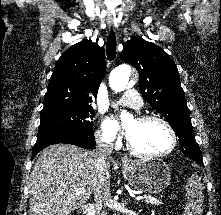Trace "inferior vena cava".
Returning <instances> with one entry per match:
<instances>
[{
	"label": "inferior vena cava",
	"instance_id": "1",
	"mask_svg": "<svg viewBox=\"0 0 221 215\" xmlns=\"http://www.w3.org/2000/svg\"><path fill=\"white\" fill-rule=\"evenodd\" d=\"M113 151L111 143L104 142L101 139L96 141L97 156V177L94 183V196L96 207L101 210L102 205L110 196V180L106 172V161ZM98 215H105L98 212Z\"/></svg>",
	"mask_w": 221,
	"mask_h": 215
}]
</instances>
